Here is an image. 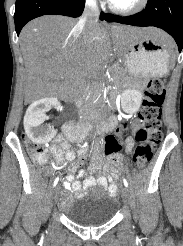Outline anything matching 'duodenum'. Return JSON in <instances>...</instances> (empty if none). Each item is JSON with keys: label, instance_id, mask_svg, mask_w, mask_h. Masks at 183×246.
Segmentation results:
<instances>
[{"label": "duodenum", "instance_id": "410a0bca", "mask_svg": "<svg viewBox=\"0 0 183 246\" xmlns=\"http://www.w3.org/2000/svg\"><path fill=\"white\" fill-rule=\"evenodd\" d=\"M78 127L74 123H68L64 127V134L69 138L75 141H87L88 137L85 136V133H79ZM96 142V141H94ZM94 151H101L100 143H93Z\"/></svg>", "mask_w": 183, "mask_h": 246}]
</instances>
